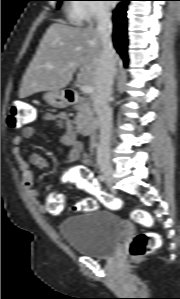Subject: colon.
<instances>
[{"instance_id": "1", "label": "colon", "mask_w": 180, "mask_h": 299, "mask_svg": "<svg viewBox=\"0 0 180 299\" xmlns=\"http://www.w3.org/2000/svg\"><path fill=\"white\" fill-rule=\"evenodd\" d=\"M37 118L35 106L24 101H13L9 106L8 124L11 128L25 127L34 122ZM79 187L85 192L93 195L95 198H85L79 202L75 208L82 211H92L97 208L98 202L111 208L118 209L122 202L120 199L103 191L95 178L89 172L82 173L78 179ZM65 208L62 196L52 194L46 202L47 212L53 215L60 214ZM132 219L145 226L150 227L153 219L143 210H135L131 214ZM161 245V239L158 235L143 232L135 235L128 248V256L131 260H138L148 254H151Z\"/></svg>"}]
</instances>
